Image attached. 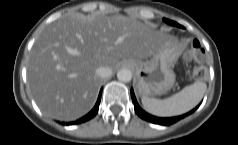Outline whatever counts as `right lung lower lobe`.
I'll use <instances>...</instances> for the list:
<instances>
[{
	"label": "right lung lower lobe",
	"mask_w": 238,
	"mask_h": 145,
	"mask_svg": "<svg viewBox=\"0 0 238 145\" xmlns=\"http://www.w3.org/2000/svg\"><path fill=\"white\" fill-rule=\"evenodd\" d=\"M101 93H102V90L100 91L98 100H97L94 108L87 115H85L84 117L80 118L79 120H77L75 122L63 123V124L64 125L80 124V123H83V122H86V121L92 119L97 114V112H98L99 104H100V99H101Z\"/></svg>",
	"instance_id": "right-lung-lower-lobe-1"
}]
</instances>
